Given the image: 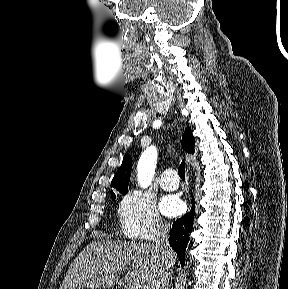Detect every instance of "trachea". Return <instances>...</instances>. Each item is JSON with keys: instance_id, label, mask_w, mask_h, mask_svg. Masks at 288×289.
<instances>
[{"instance_id": "obj_1", "label": "trachea", "mask_w": 288, "mask_h": 289, "mask_svg": "<svg viewBox=\"0 0 288 289\" xmlns=\"http://www.w3.org/2000/svg\"><path fill=\"white\" fill-rule=\"evenodd\" d=\"M185 167H186L185 161H182L180 166L178 167V175L182 180L185 179Z\"/></svg>"}]
</instances>
